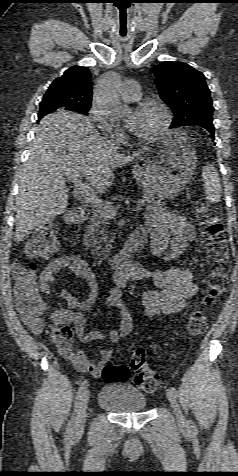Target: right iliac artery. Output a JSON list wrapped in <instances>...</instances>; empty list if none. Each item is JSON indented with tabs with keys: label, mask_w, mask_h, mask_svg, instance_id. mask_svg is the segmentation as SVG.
I'll use <instances>...</instances> for the list:
<instances>
[{
	"label": "right iliac artery",
	"mask_w": 238,
	"mask_h": 476,
	"mask_svg": "<svg viewBox=\"0 0 238 476\" xmlns=\"http://www.w3.org/2000/svg\"><path fill=\"white\" fill-rule=\"evenodd\" d=\"M86 388H87V381L85 380V381L82 382L81 386L79 387V390H78V393H77V396H76V402L74 404V413H73V416H72L71 420L69 421V423L67 425L66 432H65V439L66 440H70V438L72 436L75 414L78 412L79 407L81 406L82 400H83L85 392H86Z\"/></svg>",
	"instance_id": "obj_1"
}]
</instances>
